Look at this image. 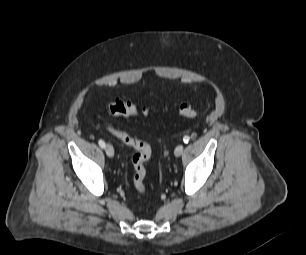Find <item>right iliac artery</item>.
<instances>
[{"label":"right iliac artery","mask_w":306,"mask_h":255,"mask_svg":"<svg viewBox=\"0 0 306 255\" xmlns=\"http://www.w3.org/2000/svg\"><path fill=\"white\" fill-rule=\"evenodd\" d=\"M98 144H99V146L101 147V148H105V142L103 141V140H99L98 141Z\"/></svg>","instance_id":"82829eb1"}]
</instances>
